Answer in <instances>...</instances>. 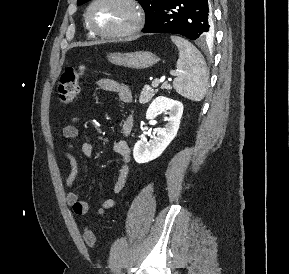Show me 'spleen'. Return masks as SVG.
I'll return each instance as SVG.
<instances>
[{
    "instance_id": "spleen-1",
    "label": "spleen",
    "mask_w": 289,
    "mask_h": 274,
    "mask_svg": "<svg viewBox=\"0 0 289 274\" xmlns=\"http://www.w3.org/2000/svg\"><path fill=\"white\" fill-rule=\"evenodd\" d=\"M171 40L179 49L176 67L180 70L173 87L183 97L200 101L208 86V70L203 56L188 40L175 35L171 36Z\"/></svg>"
}]
</instances>
